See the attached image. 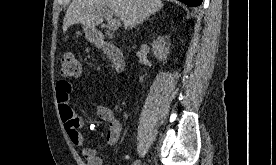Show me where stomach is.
Masks as SVG:
<instances>
[{"label": "stomach", "instance_id": "0dacf381", "mask_svg": "<svg viewBox=\"0 0 276 165\" xmlns=\"http://www.w3.org/2000/svg\"><path fill=\"white\" fill-rule=\"evenodd\" d=\"M84 32L87 40L89 41H95L98 37V32L95 28L85 27Z\"/></svg>", "mask_w": 276, "mask_h": 165}]
</instances>
